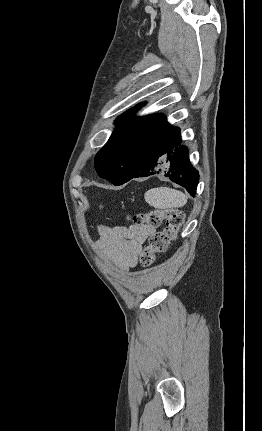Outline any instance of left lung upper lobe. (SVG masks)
<instances>
[{
  "label": "left lung upper lobe",
  "mask_w": 262,
  "mask_h": 431,
  "mask_svg": "<svg viewBox=\"0 0 262 431\" xmlns=\"http://www.w3.org/2000/svg\"><path fill=\"white\" fill-rule=\"evenodd\" d=\"M142 104L123 113L115 121L117 128L95 157V169L100 177L114 185L128 181L131 162L139 149L150 146L157 137L175 129L162 114L133 118Z\"/></svg>",
  "instance_id": "5c2ea615"
}]
</instances>
